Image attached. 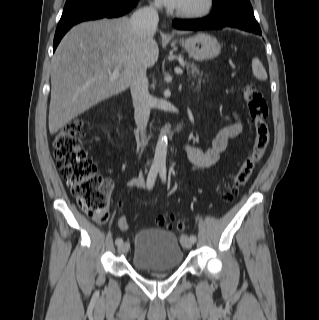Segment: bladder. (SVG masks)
Here are the masks:
<instances>
[{
    "instance_id": "31cf9c89",
    "label": "bladder",
    "mask_w": 319,
    "mask_h": 320,
    "mask_svg": "<svg viewBox=\"0 0 319 320\" xmlns=\"http://www.w3.org/2000/svg\"><path fill=\"white\" fill-rule=\"evenodd\" d=\"M184 260L183 247L178 238L162 228L141 230L134 237L131 266L134 270H175Z\"/></svg>"
}]
</instances>
